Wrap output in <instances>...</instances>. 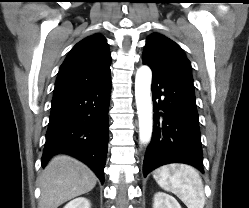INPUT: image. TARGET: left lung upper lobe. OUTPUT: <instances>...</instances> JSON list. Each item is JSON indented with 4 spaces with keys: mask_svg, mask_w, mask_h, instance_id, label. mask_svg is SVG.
Returning <instances> with one entry per match:
<instances>
[{
    "mask_svg": "<svg viewBox=\"0 0 249 208\" xmlns=\"http://www.w3.org/2000/svg\"><path fill=\"white\" fill-rule=\"evenodd\" d=\"M142 59L152 70L176 77L194 88L191 63L180 46L171 39L158 33L151 34Z\"/></svg>",
    "mask_w": 249,
    "mask_h": 208,
    "instance_id": "5c2ea615",
    "label": "left lung upper lobe"
}]
</instances>
